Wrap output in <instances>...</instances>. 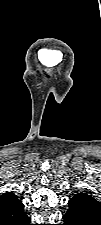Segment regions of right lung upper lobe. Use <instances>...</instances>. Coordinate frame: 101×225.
Returning <instances> with one entry per match:
<instances>
[{
  "label": "right lung upper lobe",
  "instance_id": "1",
  "mask_svg": "<svg viewBox=\"0 0 101 225\" xmlns=\"http://www.w3.org/2000/svg\"><path fill=\"white\" fill-rule=\"evenodd\" d=\"M28 216L23 203L12 192L0 197V225H22Z\"/></svg>",
  "mask_w": 101,
  "mask_h": 225
}]
</instances>
